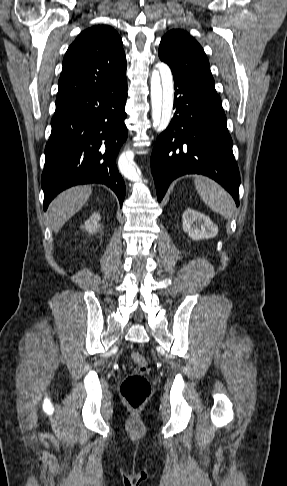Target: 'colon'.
I'll use <instances>...</instances> for the list:
<instances>
[{
	"label": "colon",
	"instance_id": "obj_1",
	"mask_svg": "<svg viewBox=\"0 0 287 486\" xmlns=\"http://www.w3.org/2000/svg\"><path fill=\"white\" fill-rule=\"evenodd\" d=\"M135 369L121 383L120 392L125 403L133 408L142 407L151 395V383L146 376L147 361L139 352L130 355Z\"/></svg>",
	"mask_w": 287,
	"mask_h": 486
}]
</instances>
